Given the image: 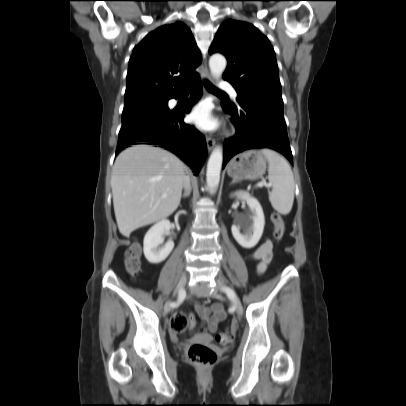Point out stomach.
Listing matches in <instances>:
<instances>
[{
  "label": "stomach",
  "mask_w": 406,
  "mask_h": 406,
  "mask_svg": "<svg viewBox=\"0 0 406 406\" xmlns=\"http://www.w3.org/2000/svg\"><path fill=\"white\" fill-rule=\"evenodd\" d=\"M267 162L256 150L243 152L235 156L227 167V173L235 180H254L266 172Z\"/></svg>",
  "instance_id": "0dacf381"
}]
</instances>
